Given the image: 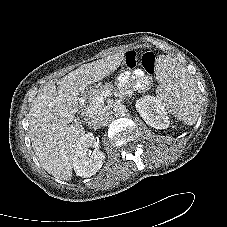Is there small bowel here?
I'll list each match as a JSON object with an SVG mask.
<instances>
[{"mask_svg":"<svg viewBox=\"0 0 227 227\" xmlns=\"http://www.w3.org/2000/svg\"><path fill=\"white\" fill-rule=\"evenodd\" d=\"M119 84L127 89H145L151 84V78L142 70L137 69L132 74L123 73L119 76Z\"/></svg>","mask_w":227,"mask_h":227,"instance_id":"c3829d8e","label":"small bowel"}]
</instances>
